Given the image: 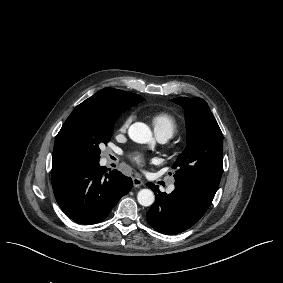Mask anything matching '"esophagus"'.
<instances>
[{
  "instance_id": "1",
  "label": "esophagus",
  "mask_w": 283,
  "mask_h": 283,
  "mask_svg": "<svg viewBox=\"0 0 283 283\" xmlns=\"http://www.w3.org/2000/svg\"><path fill=\"white\" fill-rule=\"evenodd\" d=\"M132 181H133V186L134 187H139V186L143 185V181L140 178H138V177H134L132 179Z\"/></svg>"
}]
</instances>
